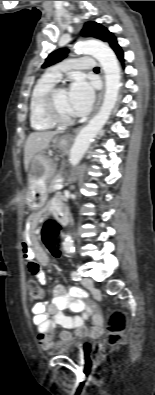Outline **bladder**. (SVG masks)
I'll list each match as a JSON object with an SVG mask.
<instances>
[{
	"instance_id": "1",
	"label": "bladder",
	"mask_w": 155,
	"mask_h": 395,
	"mask_svg": "<svg viewBox=\"0 0 155 395\" xmlns=\"http://www.w3.org/2000/svg\"><path fill=\"white\" fill-rule=\"evenodd\" d=\"M93 348L90 341H84L76 338H70L67 340L58 341L53 351L57 355H66L71 357H85L88 355Z\"/></svg>"
}]
</instances>
